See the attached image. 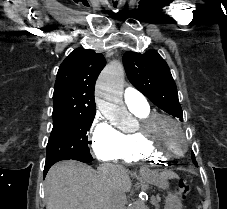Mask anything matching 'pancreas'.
<instances>
[{
    "instance_id": "pancreas-1",
    "label": "pancreas",
    "mask_w": 227,
    "mask_h": 209,
    "mask_svg": "<svg viewBox=\"0 0 227 209\" xmlns=\"http://www.w3.org/2000/svg\"><path fill=\"white\" fill-rule=\"evenodd\" d=\"M158 205L156 204L154 207H153V209H158V207H157Z\"/></svg>"
}]
</instances>
